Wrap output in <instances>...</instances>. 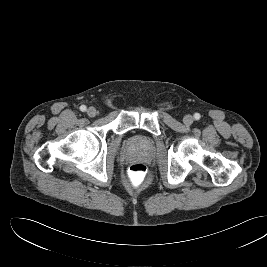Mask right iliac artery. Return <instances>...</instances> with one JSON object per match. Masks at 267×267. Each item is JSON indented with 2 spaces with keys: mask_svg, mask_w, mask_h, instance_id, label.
<instances>
[{
  "mask_svg": "<svg viewBox=\"0 0 267 267\" xmlns=\"http://www.w3.org/2000/svg\"><path fill=\"white\" fill-rule=\"evenodd\" d=\"M80 110H81L82 112L86 111V106H85V105H81V106H80Z\"/></svg>",
  "mask_w": 267,
  "mask_h": 267,
  "instance_id": "82829eb1",
  "label": "right iliac artery"
}]
</instances>
